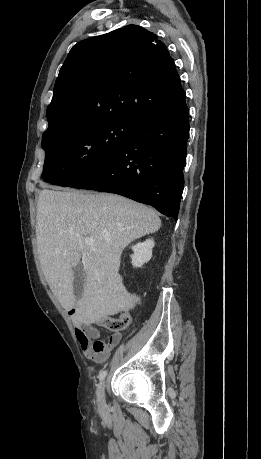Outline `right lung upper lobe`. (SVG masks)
Listing matches in <instances>:
<instances>
[{
  "label": "right lung upper lobe",
  "mask_w": 261,
  "mask_h": 459,
  "mask_svg": "<svg viewBox=\"0 0 261 459\" xmlns=\"http://www.w3.org/2000/svg\"><path fill=\"white\" fill-rule=\"evenodd\" d=\"M185 94L157 36L136 25L83 40L69 52L47 107L51 132H80L114 120L140 121Z\"/></svg>",
  "instance_id": "cb5924a9"
}]
</instances>
